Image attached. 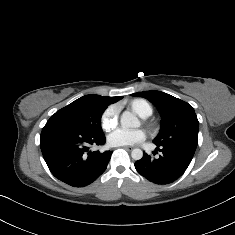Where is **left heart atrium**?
I'll return each instance as SVG.
<instances>
[{"instance_id":"1","label":"left heart atrium","mask_w":235,"mask_h":235,"mask_svg":"<svg viewBox=\"0 0 235 235\" xmlns=\"http://www.w3.org/2000/svg\"><path fill=\"white\" fill-rule=\"evenodd\" d=\"M147 137L145 130H125L116 129L107 136V142L110 146H129L143 142Z\"/></svg>"}]
</instances>
